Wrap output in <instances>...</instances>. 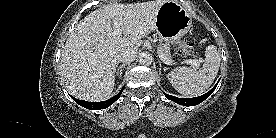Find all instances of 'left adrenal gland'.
Returning <instances> with one entry per match:
<instances>
[{
  "mask_svg": "<svg viewBox=\"0 0 276 138\" xmlns=\"http://www.w3.org/2000/svg\"><path fill=\"white\" fill-rule=\"evenodd\" d=\"M161 68H162L161 61H159V73H161ZM163 70L165 71V68H163Z\"/></svg>",
  "mask_w": 276,
  "mask_h": 138,
  "instance_id": "a2214340",
  "label": "left adrenal gland"
}]
</instances>
